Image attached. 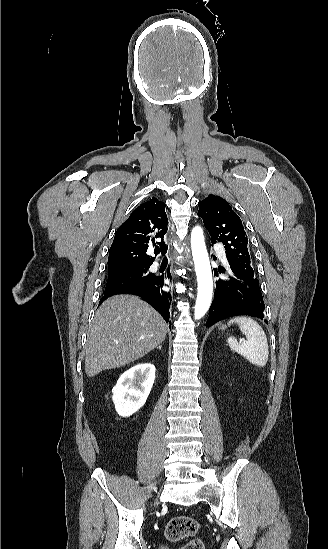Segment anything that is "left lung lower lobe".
Segmentation results:
<instances>
[{
	"mask_svg": "<svg viewBox=\"0 0 328 549\" xmlns=\"http://www.w3.org/2000/svg\"><path fill=\"white\" fill-rule=\"evenodd\" d=\"M229 266L228 278L216 282L206 327L222 319L239 315L264 318V302L258 279L254 274L230 262ZM221 271L225 272V269H214V274L218 275Z\"/></svg>",
	"mask_w": 328,
	"mask_h": 549,
	"instance_id": "1",
	"label": "left lung lower lobe"
}]
</instances>
